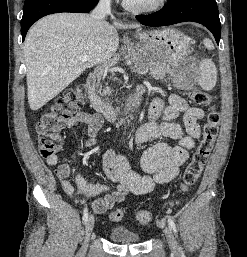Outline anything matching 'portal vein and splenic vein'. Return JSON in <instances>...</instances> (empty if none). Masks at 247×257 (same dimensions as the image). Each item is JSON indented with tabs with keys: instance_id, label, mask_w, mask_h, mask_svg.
I'll return each mask as SVG.
<instances>
[{
	"instance_id": "portal-vein-and-splenic-vein-1",
	"label": "portal vein and splenic vein",
	"mask_w": 247,
	"mask_h": 257,
	"mask_svg": "<svg viewBox=\"0 0 247 257\" xmlns=\"http://www.w3.org/2000/svg\"><path fill=\"white\" fill-rule=\"evenodd\" d=\"M79 61H88L89 60V57L87 55H82L80 56L79 58ZM148 70H144V71H141L140 74L143 75V74H146Z\"/></svg>"
}]
</instances>
